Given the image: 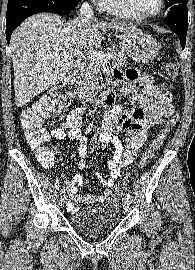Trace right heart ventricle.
Instances as JSON below:
<instances>
[{
    "mask_svg": "<svg viewBox=\"0 0 195 270\" xmlns=\"http://www.w3.org/2000/svg\"><path fill=\"white\" fill-rule=\"evenodd\" d=\"M100 8L116 17L128 20H140L127 9L123 0H102Z\"/></svg>",
    "mask_w": 195,
    "mask_h": 270,
    "instance_id": "1",
    "label": "right heart ventricle"
}]
</instances>
